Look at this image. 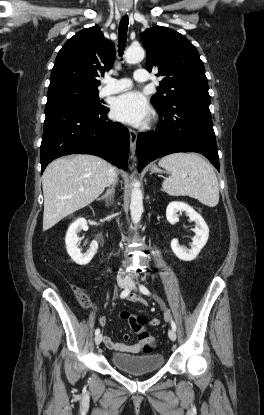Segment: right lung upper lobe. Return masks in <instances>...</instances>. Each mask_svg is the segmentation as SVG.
Segmentation results:
<instances>
[{"instance_id":"obj_1","label":"right lung upper lobe","mask_w":264,"mask_h":415,"mask_svg":"<svg viewBox=\"0 0 264 415\" xmlns=\"http://www.w3.org/2000/svg\"><path fill=\"white\" fill-rule=\"evenodd\" d=\"M114 44L97 26L75 34L59 51L51 72L48 98L65 93L98 92L105 71L112 68Z\"/></svg>"}]
</instances>
